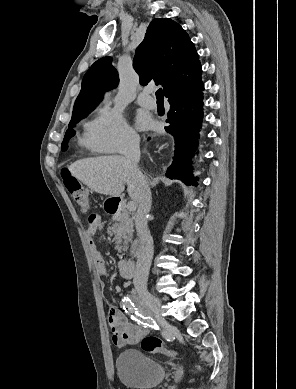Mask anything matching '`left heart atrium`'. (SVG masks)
<instances>
[{"label": "left heart atrium", "mask_w": 296, "mask_h": 389, "mask_svg": "<svg viewBox=\"0 0 296 389\" xmlns=\"http://www.w3.org/2000/svg\"><path fill=\"white\" fill-rule=\"evenodd\" d=\"M149 124H150V120L146 114L142 112L137 114V125L139 128L141 129L147 128Z\"/></svg>", "instance_id": "obj_1"}]
</instances>
